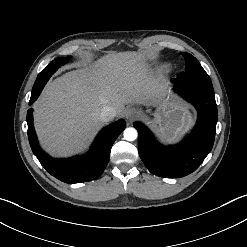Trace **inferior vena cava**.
Listing matches in <instances>:
<instances>
[{
	"label": "inferior vena cava",
	"instance_id": "obj_1",
	"mask_svg": "<svg viewBox=\"0 0 247 247\" xmlns=\"http://www.w3.org/2000/svg\"><path fill=\"white\" fill-rule=\"evenodd\" d=\"M116 116V110L111 106H105L99 113V119L102 122H108Z\"/></svg>",
	"mask_w": 247,
	"mask_h": 247
}]
</instances>
